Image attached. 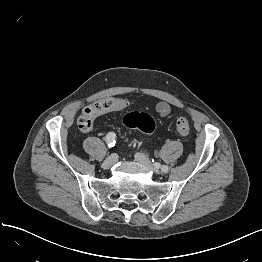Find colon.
<instances>
[{
	"mask_svg": "<svg viewBox=\"0 0 262 262\" xmlns=\"http://www.w3.org/2000/svg\"><path fill=\"white\" fill-rule=\"evenodd\" d=\"M127 103L123 100L110 99L108 106L112 109L120 110L126 107ZM97 111H101L102 107L97 106ZM123 124L129 129H136L145 134H152L155 131V122L147 113L132 112L123 118ZM92 126V120L88 113L83 114L79 118V127L86 131ZM177 132L182 138H187L190 134V125L186 118L180 117L177 120Z\"/></svg>",
	"mask_w": 262,
	"mask_h": 262,
	"instance_id": "1",
	"label": "colon"
}]
</instances>
